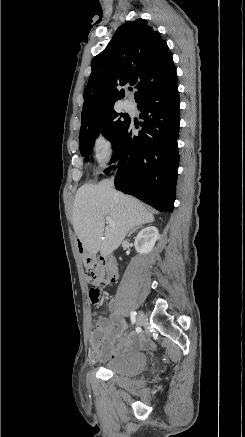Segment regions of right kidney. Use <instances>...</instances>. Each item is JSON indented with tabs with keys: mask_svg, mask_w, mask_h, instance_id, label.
Returning a JSON list of instances; mask_svg holds the SVG:
<instances>
[{
	"mask_svg": "<svg viewBox=\"0 0 245 437\" xmlns=\"http://www.w3.org/2000/svg\"><path fill=\"white\" fill-rule=\"evenodd\" d=\"M159 238L160 235L156 227L149 226L142 229L135 238L136 251L140 254L150 253Z\"/></svg>",
	"mask_w": 245,
	"mask_h": 437,
	"instance_id": "right-kidney-1",
	"label": "right kidney"
}]
</instances>
